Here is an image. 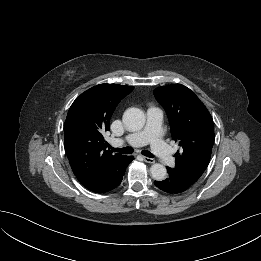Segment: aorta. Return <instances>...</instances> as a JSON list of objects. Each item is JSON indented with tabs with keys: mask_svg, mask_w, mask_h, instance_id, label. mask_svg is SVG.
<instances>
[{
	"mask_svg": "<svg viewBox=\"0 0 261 261\" xmlns=\"http://www.w3.org/2000/svg\"><path fill=\"white\" fill-rule=\"evenodd\" d=\"M145 114L141 109L131 107L128 108L123 114V123L132 131H137L145 125ZM151 176L154 180L162 181L166 178L167 170L162 164L155 163L150 168Z\"/></svg>",
	"mask_w": 261,
	"mask_h": 261,
	"instance_id": "obj_1",
	"label": "aorta"
}]
</instances>
